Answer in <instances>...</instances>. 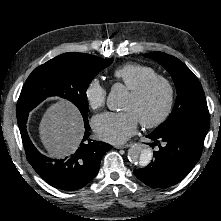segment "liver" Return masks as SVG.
Returning <instances> with one entry per match:
<instances>
[{
	"mask_svg": "<svg viewBox=\"0 0 221 221\" xmlns=\"http://www.w3.org/2000/svg\"><path fill=\"white\" fill-rule=\"evenodd\" d=\"M39 134L50 157L68 156L78 148L83 137L82 116L69 101L59 100L44 113Z\"/></svg>",
	"mask_w": 221,
	"mask_h": 221,
	"instance_id": "1",
	"label": "liver"
}]
</instances>
